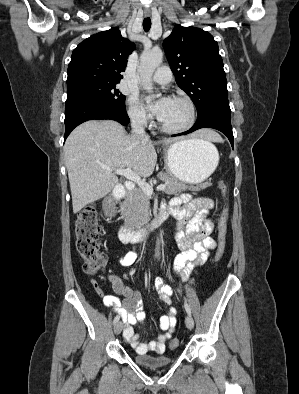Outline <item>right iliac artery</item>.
<instances>
[{
	"instance_id": "right-iliac-artery-1",
	"label": "right iliac artery",
	"mask_w": 299,
	"mask_h": 394,
	"mask_svg": "<svg viewBox=\"0 0 299 394\" xmlns=\"http://www.w3.org/2000/svg\"><path fill=\"white\" fill-rule=\"evenodd\" d=\"M119 318H120V316H119V315H117V316L114 318V321H113V323H114V324H116V323L119 321Z\"/></svg>"
}]
</instances>
